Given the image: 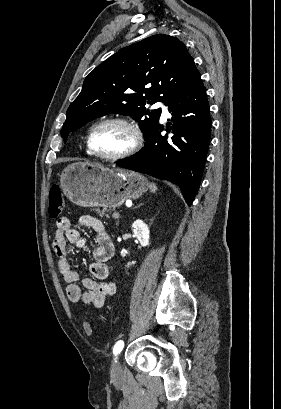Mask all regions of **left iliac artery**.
<instances>
[{"mask_svg":"<svg viewBox=\"0 0 281 409\" xmlns=\"http://www.w3.org/2000/svg\"><path fill=\"white\" fill-rule=\"evenodd\" d=\"M124 346V342L123 341H118L113 348V353L114 355H117L121 352V350L123 349Z\"/></svg>","mask_w":281,"mask_h":409,"instance_id":"left-iliac-artery-1","label":"left iliac artery"}]
</instances>
